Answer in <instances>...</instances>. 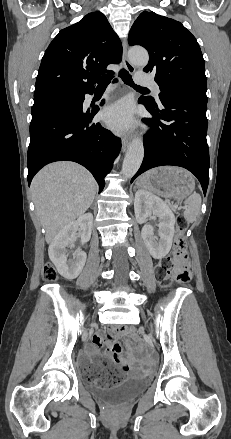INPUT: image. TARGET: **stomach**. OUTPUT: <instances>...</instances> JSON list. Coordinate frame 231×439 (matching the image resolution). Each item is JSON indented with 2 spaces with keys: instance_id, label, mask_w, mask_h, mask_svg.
<instances>
[{
  "instance_id": "obj_1",
  "label": "stomach",
  "mask_w": 231,
  "mask_h": 439,
  "mask_svg": "<svg viewBox=\"0 0 231 439\" xmlns=\"http://www.w3.org/2000/svg\"><path fill=\"white\" fill-rule=\"evenodd\" d=\"M140 184L167 199L182 200L193 192L195 180L185 169L168 166L148 171Z\"/></svg>"
}]
</instances>
